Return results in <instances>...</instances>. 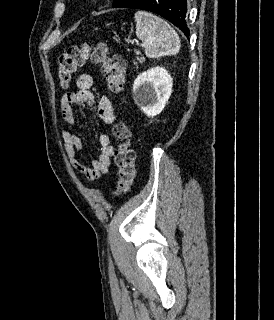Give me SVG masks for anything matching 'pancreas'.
I'll list each match as a JSON object with an SVG mask.
<instances>
[{
  "label": "pancreas",
  "mask_w": 274,
  "mask_h": 320,
  "mask_svg": "<svg viewBox=\"0 0 274 320\" xmlns=\"http://www.w3.org/2000/svg\"><path fill=\"white\" fill-rule=\"evenodd\" d=\"M137 56L141 54V52H136ZM138 62H146L145 58H137ZM134 66H137V62H133Z\"/></svg>",
  "instance_id": "pancreas-1"
}]
</instances>
